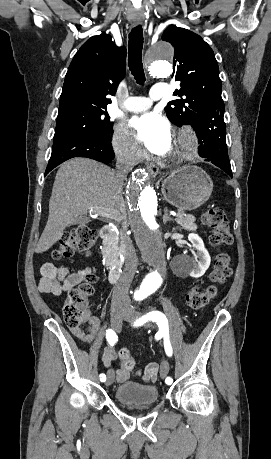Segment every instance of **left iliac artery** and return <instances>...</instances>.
Masks as SVG:
<instances>
[{
  "label": "left iliac artery",
  "instance_id": "1",
  "mask_svg": "<svg viewBox=\"0 0 271 459\" xmlns=\"http://www.w3.org/2000/svg\"><path fill=\"white\" fill-rule=\"evenodd\" d=\"M147 321L156 322L158 325V333L160 336H164V348L166 354L170 357L173 354L172 347L169 340L168 321L166 316L160 311H151L134 322V326H140ZM166 386H172V378L166 379Z\"/></svg>",
  "mask_w": 271,
  "mask_h": 459
}]
</instances>
